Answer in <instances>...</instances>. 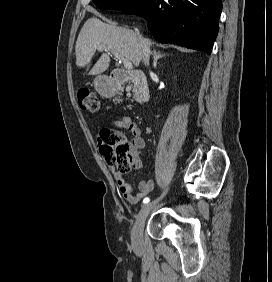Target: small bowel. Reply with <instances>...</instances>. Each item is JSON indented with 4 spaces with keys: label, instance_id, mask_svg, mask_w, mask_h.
Wrapping results in <instances>:
<instances>
[{
    "label": "small bowel",
    "instance_id": "obj_1",
    "mask_svg": "<svg viewBox=\"0 0 272 282\" xmlns=\"http://www.w3.org/2000/svg\"><path fill=\"white\" fill-rule=\"evenodd\" d=\"M113 125L117 127H123L129 130L133 134L132 141V151L133 160L132 168L135 170H140L142 168V160L140 158V153L145 147V138L139 129V127L128 119H123L115 121ZM110 171L114 177L117 187L123 197L131 204L139 203L143 197L149 194L154 189V182L151 179H144L138 185V192L133 193L132 186L126 181L124 175L118 172L114 167H110Z\"/></svg>",
    "mask_w": 272,
    "mask_h": 282
}]
</instances>
